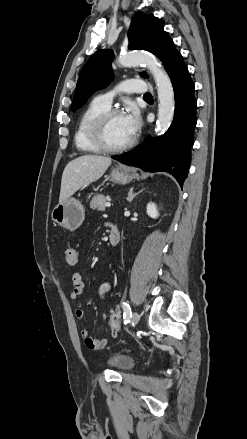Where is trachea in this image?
Returning a JSON list of instances; mask_svg holds the SVG:
<instances>
[{"label":"trachea","mask_w":247,"mask_h":439,"mask_svg":"<svg viewBox=\"0 0 247 439\" xmlns=\"http://www.w3.org/2000/svg\"><path fill=\"white\" fill-rule=\"evenodd\" d=\"M143 97H144V98H152L151 94H149V93L144 94Z\"/></svg>","instance_id":"3493384b"}]
</instances>
